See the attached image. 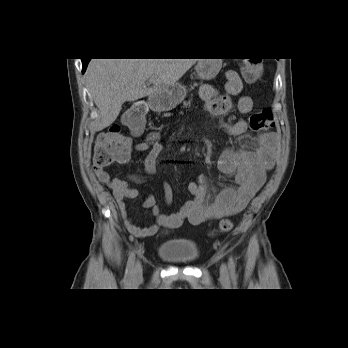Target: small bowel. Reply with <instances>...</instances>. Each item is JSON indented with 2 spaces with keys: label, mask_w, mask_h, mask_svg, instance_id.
<instances>
[{
  "label": "small bowel",
  "mask_w": 348,
  "mask_h": 348,
  "mask_svg": "<svg viewBox=\"0 0 348 348\" xmlns=\"http://www.w3.org/2000/svg\"><path fill=\"white\" fill-rule=\"evenodd\" d=\"M242 89L243 83L238 73L228 71L222 91L213 85L203 84L200 87V96L204 101L205 109L218 118L231 111L247 114L252 110L253 102L249 96H239ZM234 96H239V98L233 101ZM220 126L232 136L242 135L248 129V123L243 119L233 123L221 121ZM256 141L257 147L254 150L226 151L218 161L221 172L233 177L237 184L236 187L224 188L211 203H207L209 180L201 177L188 187L192 199L172 214H165L157 204V197L150 195L144 200L143 206L152 211L155 220L144 227L134 223L126 201L138 196L137 189L130 183H143L148 175L154 173L156 161L162 150L161 143L144 141L134 146V150L137 152H147L142 174H131L126 179H121L112 178L102 167L95 166L94 171L99 181L112 190L128 232L135 237H147L155 235L162 228H176L185 220L192 225H201L242 211L264 184L267 172L275 163L277 135L273 132L263 133L257 137ZM129 156L130 154L119 163H126ZM162 191L165 202L169 204L172 200L171 187L163 184Z\"/></svg>",
  "instance_id": "c3829d8e"
}]
</instances>
